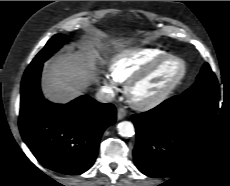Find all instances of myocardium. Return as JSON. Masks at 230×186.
Returning a JSON list of instances; mask_svg holds the SVG:
<instances>
[{
  "instance_id": "obj_1",
  "label": "myocardium",
  "mask_w": 230,
  "mask_h": 186,
  "mask_svg": "<svg viewBox=\"0 0 230 186\" xmlns=\"http://www.w3.org/2000/svg\"><path fill=\"white\" fill-rule=\"evenodd\" d=\"M169 60H173L179 63L180 69L177 75L171 81H169V83L165 85L164 88L156 95L147 99H137L133 94L135 87L143 80L150 77L161 65ZM186 72L187 67L183 59L176 55L165 54L157 59L155 62H153L151 65L134 74L127 80L125 85V94L127 96V99L129 100L131 105L137 109L149 110L151 108H154L164 102L172 94V92L185 77Z\"/></svg>"
}]
</instances>
